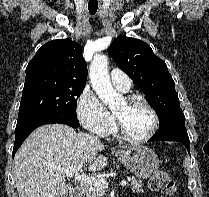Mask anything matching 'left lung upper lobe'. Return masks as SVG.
Segmentation results:
<instances>
[{"label":"left lung upper lobe","instance_id":"5c2ea615","mask_svg":"<svg viewBox=\"0 0 209 197\" xmlns=\"http://www.w3.org/2000/svg\"><path fill=\"white\" fill-rule=\"evenodd\" d=\"M108 52L148 97V103L159 116L160 127L172 121L185 120L167 65L147 43L119 36L114 39Z\"/></svg>","mask_w":209,"mask_h":197}]
</instances>
